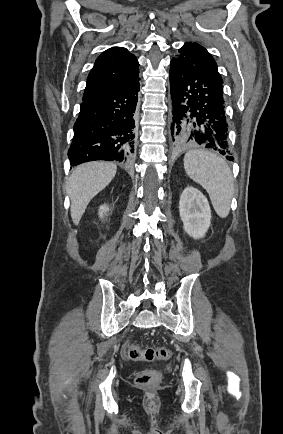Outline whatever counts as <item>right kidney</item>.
I'll return each instance as SVG.
<instances>
[{"mask_svg":"<svg viewBox=\"0 0 283 434\" xmlns=\"http://www.w3.org/2000/svg\"><path fill=\"white\" fill-rule=\"evenodd\" d=\"M109 211V207L107 205H102L99 208V216L100 218H103L104 215Z\"/></svg>","mask_w":283,"mask_h":434,"instance_id":"right-kidney-1","label":"right kidney"}]
</instances>
